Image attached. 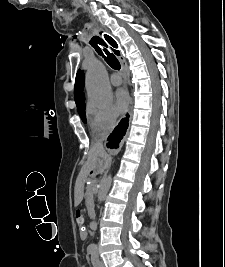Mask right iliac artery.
<instances>
[{"label": "right iliac artery", "instance_id": "right-iliac-artery-1", "mask_svg": "<svg viewBox=\"0 0 225 267\" xmlns=\"http://www.w3.org/2000/svg\"><path fill=\"white\" fill-rule=\"evenodd\" d=\"M88 252H89V253H92V252H93V250H92V249H89V250H88Z\"/></svg>", "mask_w": 225, "mask_h": 267}]
</instances>
